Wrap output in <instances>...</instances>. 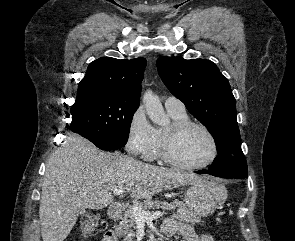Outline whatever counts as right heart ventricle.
<instances>
[{
  "label": "right heart ventricle",
  "mask_w": 295,
  "mask_h": 241,
  "mask_svg": "<svg viewBox=\"0 0 295 241\" xmlns=\"http://www.w3.org/2000/svg\"><path fill=\"white\" fill-rule=\"evenodd\" d=\"M167 111L173 121L188 120V115L186 112L181 113V112H175V111H169V110ZM162 132H163L162 129H155V141H154L152 149L150 150L147 156L149 159H154L159 157V147H160V139H161Z\"/></svg>",
  "instance_id": "1"
}]
</instances>
